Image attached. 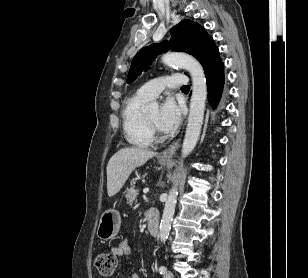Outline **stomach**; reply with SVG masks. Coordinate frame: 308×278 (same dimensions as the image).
Here are the masks:
<instances>
[{"mask_svg":"<svg viewBox=\"0 0 308 278\" xmlns=\"http://www.w3.org/2000/svg\"><path fill=\"white\" fill-rule=\"evenodd\" d=\"M161 166H165L168 162L159 161ZM121 225V216L118 211L110 209L105 211L101 217L97 228V236L103 241L112 239L119 232Z\"/></svg>","mask_w":308,"mask_h":278,"instance_id":"1","label":"stomach"}]
</instances>
